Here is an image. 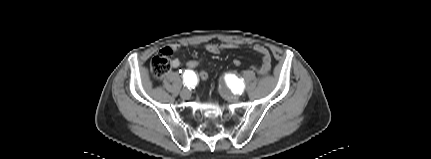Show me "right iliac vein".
Returning <instances> with one entry per match:
<instances>
[{"instance_id":"right-iliac-vein-1","label":"right iliac vein","mask_w":431,"mask_h":159,"mask_svg":"<svg viewBox=\"0 0 431 159\" xmlns=\"http://www.w3.org/2000/svg\"><path fill=\"white\" fill-rule=\"evenodd\" d=\"M190 95H191V92L188 88H183L182 91L180 92V96L183 99H188L190 97Z\"/></svg>"}]
</instances>
